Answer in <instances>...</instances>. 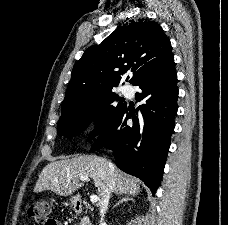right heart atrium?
Instances as JSON below:
<instances>
[{
	"label": "right heart atrium",
	"instance_id": "obj_1",
	"mask_svg": "<svg viewBox=\"0 0 228 225\" xmlns=\"http://www.w3.org/2000/svg\"><path fill=\"white\" fill-rule=\"evenodd\" d=\"M87 123L92 129H100L103 124L102 115L99 112L91 113L87 118Z\"/></svg>",
	"mask_w": 228,
	"mask_h": 225
}]
</instances>
